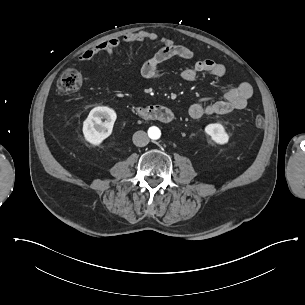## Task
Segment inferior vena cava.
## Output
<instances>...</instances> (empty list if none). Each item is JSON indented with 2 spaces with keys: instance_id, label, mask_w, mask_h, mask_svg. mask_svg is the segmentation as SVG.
I'll list each match as a JSON object with an SVG mask.
<instances>
[{
  "instance_id": "1",
  "label": "inferior vena cava",
  "mask_w": 305,
  "mask_h": 305,
  "mask_svg": "<svg viewBox=\"0 0 305 305\" xmlns=\"http://www.w3.org/2000/svg\"><path fill=\"white\" fill-rule=\"evenodd\" d=\"M133 143L138 147H144L149 143V138L144 131H137L133 135Z\"/></svg>"
}]
</instances>
